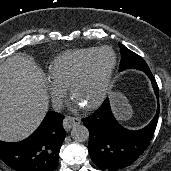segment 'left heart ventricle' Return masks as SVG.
Instances as JSON below:
<instances>
[{"instance_id": "b2bd125f", "label": "left heart ventricle", "mask_w": 171, "mask_h": 171, "mask_svg": "<svg viewBox=\"0 0 171 171\" xmlns=\"http://www.w3.org/2000/svg\"><path fill=\"white\" fill-rule=\"evenodd\" d=\"M113 63L109 50L98 53L93 59L87 73L73 90V98L83 106L92 103L101 93L104 78Z\"/></svg>"}]
</instances>
